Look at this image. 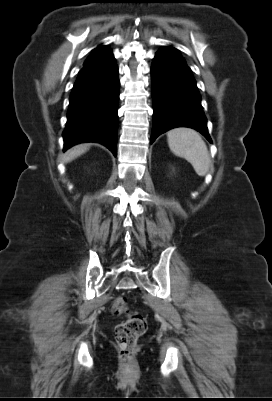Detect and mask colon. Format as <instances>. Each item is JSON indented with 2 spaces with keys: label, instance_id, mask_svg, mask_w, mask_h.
I'll use <instances>...</instances> for the list:
<instances>
[{
  "label": "colon",
  "instance_id": "colon-1",
  "mask_svg": "<svg viewBox=\"0 0 272 401\" xmlns=\"http://www.w3.org/2000/svg\"><path fill=\"white\" fill-rule=\"evenodd\" d=\"M111 311L114 315L127 314V319L115 329V340L122 359L128 361L136 349L138 339L146 331V320L139 312L128 310L127 299L123 296L113 300Z\"/></svg>",
  "mask_w": 272,
  "mask_h": 401
}]
</instances>
